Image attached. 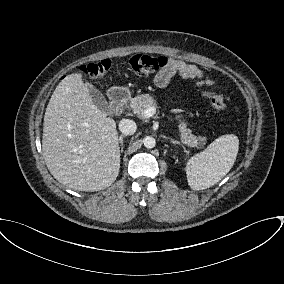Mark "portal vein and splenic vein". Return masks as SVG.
Returning <instances> with one entry per match:
<instances>
[{
    "instance_id": "1",
    "label": "portal vein and splenic vein",
    "mask_w": 284,
    "mask_h": 284,
    "mask_svg": "<svg viewBox=\"0 0 284 284\" xmlns=\"http://www.w3.org/2000/svg\"><path fill=\"white\" fill-rule=\"evenodd\" d=\"M156 113L155 107H148L144 110V117L149 118L152 117Z\"/></svg>"
}]
</instances>
